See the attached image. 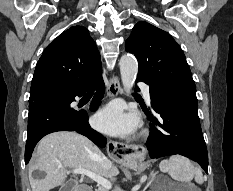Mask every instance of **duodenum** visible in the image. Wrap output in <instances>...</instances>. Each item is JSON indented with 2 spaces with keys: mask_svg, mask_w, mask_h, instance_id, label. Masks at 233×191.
I'll list each match as a JSON object with an SVG mask.
<instances>
[{
  "mask_svg": "<svg viewBox=\"0 0 233 191\" xmlns=\"http://www.w3.org/2000/svg\"><path fill=\"white\" fill-rule=\"evenodd\" d=\"M76 191H90V189L87 186H79Z\"/></svg>",
  "mask_w": 233,
  "mask_h": 191,
  "instance_id": "duodenum-1",
  "label": "duodenum"
}]
</instances>
